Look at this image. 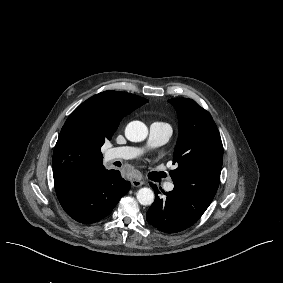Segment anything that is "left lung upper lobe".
I'll use <instances>...</instances> for the list:
<instances>
[{"label": "left lung upper lobe", "instance_id": "obj_1", "mask_svg": "<svg viewBox=\"0 0 283 283\" xmlns=\"http://www.w3.org/2000/svg\"><path fill=\"white\" fill-rule=\"evenodd\" d=\"M177 111L179 137L170 171L175 186L210 204L217 191L223 146L217 126L208 111L188 98L168 100Z\"/></svg>", "mask_w": 283, "mask_h": 283}]
</instances>
